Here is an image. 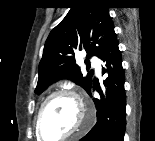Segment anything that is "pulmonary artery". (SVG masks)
Masks as SVG:
<instances>
[{"mask_svg": "<svg viewBox=\"0 0 155 141\" xmlns=\"http://www.w3.org/2000/svg\"><path fill=\"white\" fill-rule=\"evenodd\" d=\"M92 64L95 66L97 74H100L101 67H100V60L96 57L91 59Z\"/></svg>", "mask_w": 155, "mask_h": 141, "instance_id": "obj_1", "label": "pulmonary artery"}]
</instances>
